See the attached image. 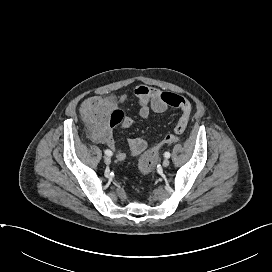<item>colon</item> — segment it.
<instances>
[{
    "instance_id": "1",
    "label": "colon",
    "mask_w": 272,
    "mask_h": 272,
    "mask_svg": "<svg viewBox=\"0 0 272 272\" xmlns=\"http://www.w3.org/2000/svg\"><path fill=\"white\" fill-rule=\"evenodd\" d=\"M81 113L87 127L96 137L104 135L109 128L121 124L124 120L123 112L115 109L111 101L102 97H92L85 100L81 106ZM179 140V134L166 135L157 145L141 156L138 165L139 171L143 175L149 174L155 166L160 150Z\"/></svg>"
}]
</instances>
